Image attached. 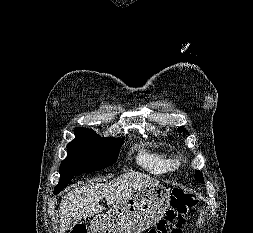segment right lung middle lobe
Wrapping results in <instances>:
<instances>
[{"mask_svg":"<svg viewBox=\"0 0 253 233\" xmlns=\"http://www.w3.org/2000/svg\"><path fill=\"white\" fill-rule=\"evenodd\" d=\"M76 139L67 146L68 156L60 165V182L104 169L117 161L123 138H102L92 130L78 128Z\"/></svg>","mask_w":253,"mask_h":233,"instance_id":"dd1d6c3e","label":"right lung middle lobe"}]
</instances>
